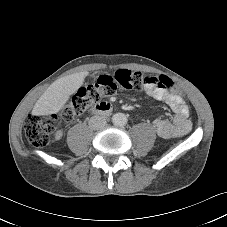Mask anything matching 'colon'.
Listing matches in <instances>:
<instances>
[{"mask_svg":"<svg viewBox=\"0 0 227 227\" xmlns=\"http://www.w3.org/2000/svg\"><path fill=\"white\" fill-rule=\"evenodd\" d=\"M148 85H159L178 92L176 85L165 76L155 77L127 69L101 75L93 84L80 88L59 113L43 118L29 115L24 124L26 137L34 147H44L50 142L57 123L71 121L118 90H141Z\"/></svg>","mask_w":227,"mask_h":227,"instance_id":"5ec220e1","label":"colon"}]
</instances>
